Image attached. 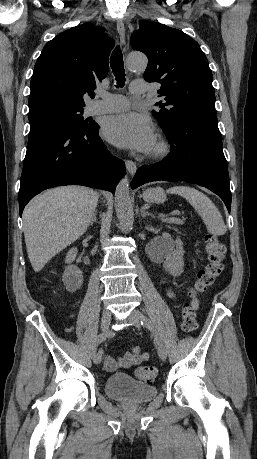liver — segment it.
<instances>
[{"mask_svg":"<svg viewBox=\"0 0 257 459\" xmlns=\"http://www.w3.org/2000/svg\"><path fill=\"white\" fill-rule=\"evenodd\" d=\"M97 200L90 188L65 186L47 190L28 204L23 212L24 237L35 272L86 232Z\"/></svg>","mask_w":257,"mask_h":459,"instance_id":"obj_1","label":"liver"}]
</instances>
